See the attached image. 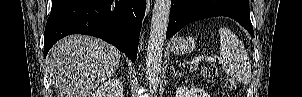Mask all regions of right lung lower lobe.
<instances>
[{
    "mask_svg": "<svg viewBox=\"0 0 302 97\" xmlns=\"http://www.w3.org/2000/svg\"><path fill=\"white\" fill-rule=\"evenodd\" d=\"M144 11L145 0H52L44 57L59 39L87 34L114 45L134 63Z\"/></svg>",
    "mask_w": 302,
    "mask_h": 97,
    "instance_id": "1",
    "label": "right lung lower lobe"
}]
</instances>
